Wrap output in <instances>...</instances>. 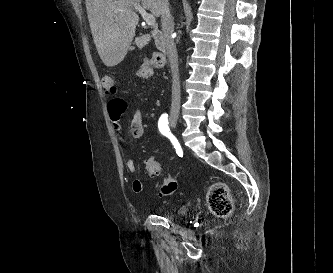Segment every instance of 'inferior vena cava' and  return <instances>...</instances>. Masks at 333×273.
<instances>
[{
	"mask_svg": "<svg viewBox=\"0 0 333 273\" xmlns=\"http://www.w3.org/2000/svg\"><path fill=\"white\" fill-rule=\"evenodd\" d=\"M160 15L164 41L170 62L172 72V104L171 111L178 113L180 110V82H179V68H178V54L172 34L174 31L173 18L170 14L168 0H160Z\"/></svg>",
	"mask_w": 333,
	"mask_h": 273,
	"instance_id": "1",
	"label": "inferior vena cava"
}]
</instances>
